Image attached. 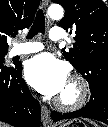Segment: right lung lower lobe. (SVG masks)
Masks as SVG:
<instances>
[{
	"label": "right lung lower lobe",
	"mask_w": 108,
	"mask_h": 127,
	"mask_svg": "<svg viewBox=\"0 0 108 127\" xmlns=\"http://www.w3.org/2000/svg\"><path fill=\"white\" fill-rule=\"evenodd\" d=\"M21 73V65H0V121L15 127H37L41 108L31 96Z\"/></svg>",
	"instance_id": "98d812e1"
}]
</instances>
